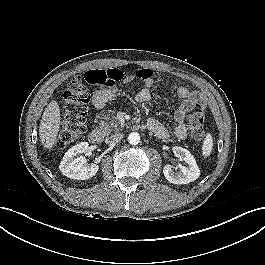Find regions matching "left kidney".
Returning <instances> with one entry per match:
<instances>
[{"mask_svg":"<svg viewBox=\"0 0 265 265\" xmlns=\"http://www.w3.org/2000/svg\"><path fill=\"white\" fill-rule=\"evenodd\" d=\"M172 150L176 157L187 163V167L181 166L179 171H176L172 165L167 164L163 168L165 178L173 184H187L195 181L200 175V170L193 155L187 149L178 146L173 147Z\"/></svg>","mask_w":265,"mask_h":265,"instance_id":"1","label":"left kidney"}]
</instances>
